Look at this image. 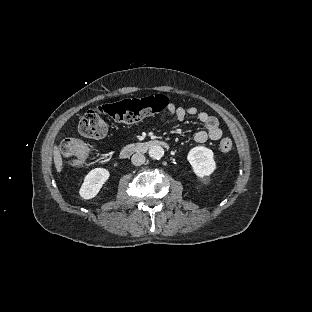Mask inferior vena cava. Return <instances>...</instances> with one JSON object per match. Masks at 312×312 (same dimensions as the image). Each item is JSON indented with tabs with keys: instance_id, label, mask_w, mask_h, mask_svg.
Masks as SVG:
<instances>
[{
	"instance_id": "602c4592",
	"label": "inferior vena cava",
	"mask_w": 312,
	"mask_h": 312,
	"mask_svg": "<svg viewBox=\"0 0 312 312\" xmlns=\"http://www.w3.org/2000/svg\"><path fill=\"white\" fill-rule=\"evenodd\" d=\"M131 162L135 166H140L145 163V156L141 153H136L132 156Z\"/></svg>"
}]
</instances>
